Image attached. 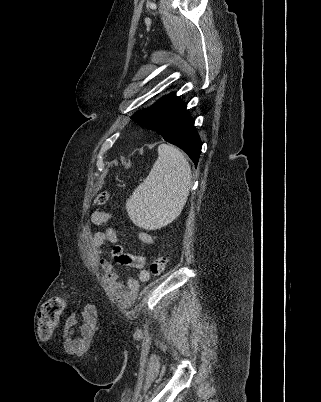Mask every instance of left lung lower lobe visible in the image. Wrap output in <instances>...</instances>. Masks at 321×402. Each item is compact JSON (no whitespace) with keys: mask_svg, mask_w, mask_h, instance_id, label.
Segmentation results:
<instances>
[{"mask_svg":"<svg viewBox=\"0 0 321 402\" xmlns=\"http://www.w3.org/2000/svg\"><path fill=\"white\" fill-rule=\"evenodd\" d=\"M155 131L165 141L185 151L197 166L202 142L194 126V119L186 110V103L182 102L175 93L168 94L162 102Z\"/></svg>","mask_w":321,"mask_h":402,"instance_id":"obj_1","label":"left lung lower lobe"}]
</instances>
